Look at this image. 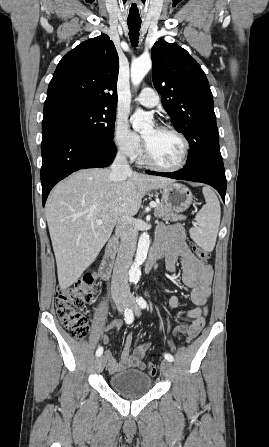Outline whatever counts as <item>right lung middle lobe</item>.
Here are the masks:
<instances>
[{
  "mask_svg": "<svg viewBox=\"0 0 269 447\" xmlns=\"http://www.w3.org/2000/svg\"><path fill=\"white\" fill-rule=\"evenodd\" d=\"M44 116L65 117L82 131L98 138L113 140L115 108L96 106H64Z\"/></svg>",
  "mask_w": 269,
  "mask_h": 447,
  "instance_id": "obj_1",
  "label": "right lung middle lobe"
}]
</instances>
